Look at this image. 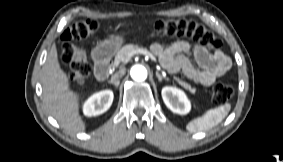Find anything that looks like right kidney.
Returning a JSON list of instances; mask_svg holds the SVG:
<instances>
[{
  "instance_id": "right-kidney-1",
  "label": "right kidney",
  "mask_w": 283,
  "mask_h": 162,
  "mask_svg": "<svg viewBox=\"0 0 283 162\" xmlns=\"http://www.w3.org/2000/svg\"><path fill=\"white\" fill-rule=\"evenodd\" d=\"M114 99L111 90H103L89 97L83 105L84 115L91 117L103 114L112 105Z\"/></svg>"
}]
</instances>
